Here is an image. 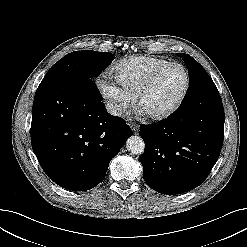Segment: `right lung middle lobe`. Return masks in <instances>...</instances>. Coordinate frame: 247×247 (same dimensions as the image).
Returning a JSON list of instances; mask_svg holds the SVG:
<instances>
[{"label":"right lung middle lobe","mask_w":247,"mask_h":247,"mask_svg":"<svg viewBox=\"0 0 247 247\" xmlns=\"http://www.w3.org/2000/svg\"><path fill=\"white\" fill-rule=\"evenodd\" d=\"M113 57L114 55L109 52L92 50L71 52L56 62L42 81L65 75L94 79L112 61Z\"/></svg>","instance_id":"dd1d6c3e"}]
</instances>
